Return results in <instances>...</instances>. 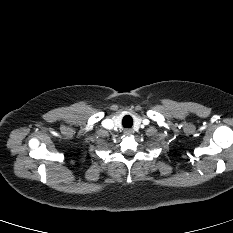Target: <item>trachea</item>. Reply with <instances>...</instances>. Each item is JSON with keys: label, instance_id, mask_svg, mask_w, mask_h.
<instances>
[{"label": "trachea", "instance_id": "1", "mask_svg": "<svg viewBox=\"0 0 233 233\" xmlns=\"http://www.w3.org/2000/svg\"><path fill=\"white\" fill-rule=\"evenodd\" d=\"M122 125H123V127H125V128H131L132 125H133V119H132V117L129 116V115H126V116L123 118Z\"/></svg>", "mask_w": 233, "mask_h": 233}]
</instances>
